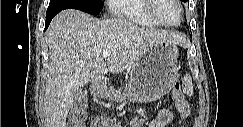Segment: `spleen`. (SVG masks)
<instances>
[{"label": "spleen", "instance_id": "1", "mask_svg": "<svg viewBox=\"0 0 243 127\" xmlns=\"http://www.w3.org/2000/svg\"><path fill=\"white\" fill-rule=\"evenodd\" d=\"M182 88L187 95H193L192 78L189 74H186L182 80Z\"/></svg>", "mask_w": 243, "mask_h": 127}]
</instances>
